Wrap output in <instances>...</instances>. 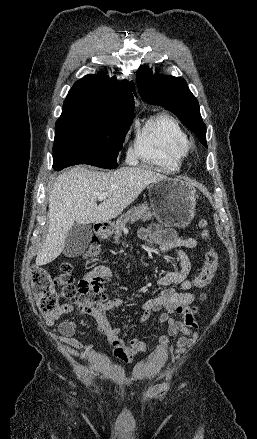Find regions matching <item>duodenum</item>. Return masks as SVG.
I'll return each instance as SVG.
<instances>
[{"mask_svg":"<svg viewBox=\"0 0 257 439\" xmlns=\"http://www.w3.org/2000/svg\"><path fill=\"white\" fill-rule=\"evenodd\" d=\"M110 229H111V224L109 222H99L96 225L97 233L103 237H106L109 235Z\"/></svg>","mask_w":257,"mask_h":439,"instance_id":"duodenum-1","label":"duodenum"}]
</instances>
